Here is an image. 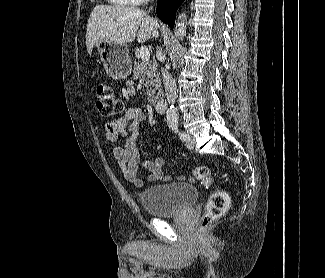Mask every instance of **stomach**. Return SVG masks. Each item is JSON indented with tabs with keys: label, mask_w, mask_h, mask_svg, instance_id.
Listing matches in <instances>:
<instances>
[{
	"label": "stomach",
	"mask_w": 325,
	"mask_h": 278,
	"mask_svg": "<svg viewBox=\"0 0 325 278\" xmlns=\"http://www.w3.org/2000/svg\"><path fill=\"white\" fill-rule=\"evenodd\" d=\"M95 46L110 77L126 79L131 74V60L126 43L103 40L97 42Z\"/></svg>",
	"instance_id": "stomach-1"
}]
</instances>
